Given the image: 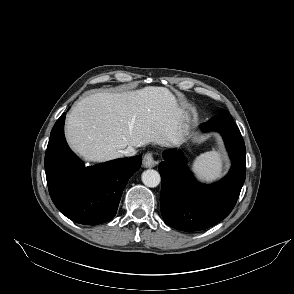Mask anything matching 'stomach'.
I'll use <instances>...</instances> for the list:
<instances>
[{"mask_svg":"<svg viewBox=\"0 0 294 294\" xmlns=\"http://www.w3.org/2000/svg\"><path fill=\"white\" fill-rule=\"evenodd\" d=\"M190 125H191V117L189 114L185 113L184 120L181 124V131L183 134V140L189 135L190 133Z\"/></svg>","mask_w":294,"mask_h":294,"instance_id":"0dacf381","label":"stomach"}]
</instances>
